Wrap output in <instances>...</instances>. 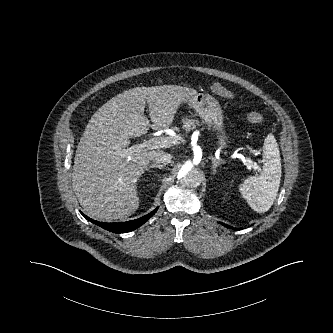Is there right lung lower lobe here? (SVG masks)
Listing matches in <instances>:
<instances>
[{
	"label": "right lung lower lobe",
	"instance_id": "98d812e1",
	"mask_svg": "<svg viewBox=\"0 0 333 333\" xmlns=\"http://www.w3.org/2000/svg\"><path fill=\"white\" fill-rule=\"evenodd\" d=\"M157 209L153 210L152 212H150L149 214L132 220V221H127L125 223H104V222H98L95 221L93 219H90L88 216H86L85 214H83L81 212V214L90 222L108 230L114 233H125V232H130L135 230L136 228L140 227L142 224H144L152 215H154L156 213Z\"/></svg>",
	"mask_w": 333,
	"mask_h": 333
}]
</instances>
